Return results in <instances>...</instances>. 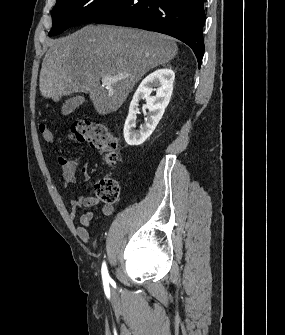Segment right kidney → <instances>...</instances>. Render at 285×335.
<instances>
[{
	"label": "right kidney",
	"instance_id": "obj_1",
	"mask_svg": "<svg viewBox=\"0 0 285 335\" xmlns=\"http://www.w3.org/2000/svg\"><path fill=\"white\" fill-rule=\"evenodd\" d=\"M174 80L173 70L163 68V70L152 72L141 82L133 96L124 124V138L129 146H140L154 132L170 102ZM153 90H155L156 96H151ZM139 100H146V108L149 112L146 114L147 118H145V124L140 128V132H133L132 128H134Z\"/></svg>",
	"mask_w": 285,
	"mask_h": 335
}]
</instances>
